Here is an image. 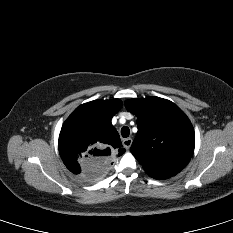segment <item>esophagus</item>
Here are the masks:
<instances>
[{"mask_svg": "<svg viewBox=\"0 0 233 233\" xmlns=\"http://www.w3.org/2000/svg\"><path fill=\"white\" fill-rule=\"evenodd\" d=\"M132 142H133V140H132V138H126V139H124L123 140V146L125 147V149H129L130 148V146L132 145Z\"/></svg>", "mask_w": 233, "mask_h": 233, "instance_id": "34e87169", "label": "esophagus"}]
</instances>
